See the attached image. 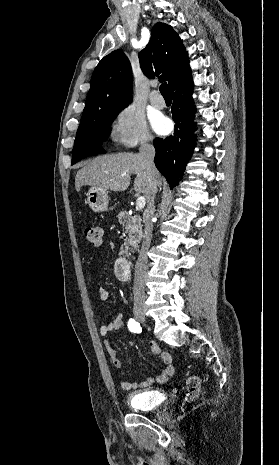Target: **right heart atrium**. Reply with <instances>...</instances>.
I'll use <instances>...</instances> for the list:
<instances>
[{"label": "right heart atrium", "instance_id": "1", "mask_svg": "<svg viewBox=\"0 0 279 465\" xmlns=\"http://www.w3.org/2000/svg\"><path fill=\"white\" fill-rule=\"evenodd\" d=\"M110 134L115 143L125 148L146 145L152 140L144 115L133 105L116 112Z\"/></svg>", "mask_w": 279, "mask_h": 465}]
</instances>
